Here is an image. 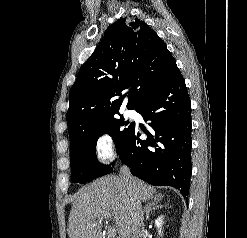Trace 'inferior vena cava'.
Here are the masks:
<instances>
[{
    "label": "inferior vena cava",
    "mask_w": 247,
    "mask_h": 238,
    "mask_svg": "<svg viewBox=\"0 0 247 238\" xmlns=\"http://www.w3.org/2000/svg\"><path fill=\"white\" fill-rule=\"evenodd\" d=\"M120 178L126 185L130 196V238H140L144 229L142 205L134 191L133 177L130 169L123 165L120 167Z\"/></svg>",
    "instance_id": "inferior-vena-cava-1"
}]
</instances>
